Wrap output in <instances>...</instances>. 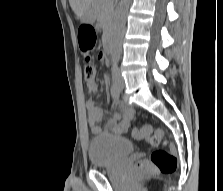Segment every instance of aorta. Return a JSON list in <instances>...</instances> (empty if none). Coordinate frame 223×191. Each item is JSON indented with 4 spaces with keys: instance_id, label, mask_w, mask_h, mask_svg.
Instances as JSON below:
<instances>
[{
    "instance_id": "obj_1",
    "label": "aorta",
    "mask_w": 223,
    "mask_h": 191,
    "mask_svg": "<svg viewBox=\"0 0 223 191\" xmlns=\"http://www.w3.org/2000/svg\"><path fill=\"white\" fill-rule=\"evenodd\" d=\"M128 7L129 0H121L115 9L113 32L110 39L111 59L114 64L119 61L122 51Z\"/></svg>"
}]
</instances>
